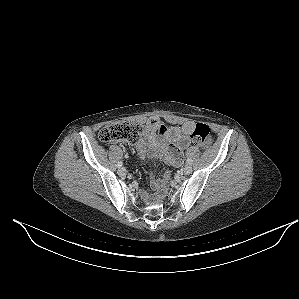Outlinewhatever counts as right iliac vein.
<instances>
[{"label": "right iliac vein", "mask_w": 299, "mask_h": 299, "mask_svg": "<svg viewBox=\"0 0 299 299\" xmlns=\"http://www.w3.org/2000/svg\"><path fill=\"white\" fill-rule=\"evenodd\" d=\"M126 173H127V171H126V169L124 167H120L118 169L119 176L124 177V176H126Z\"/></svg>", "instance_id": "right-iliac-vein-1"}]
</instances>
